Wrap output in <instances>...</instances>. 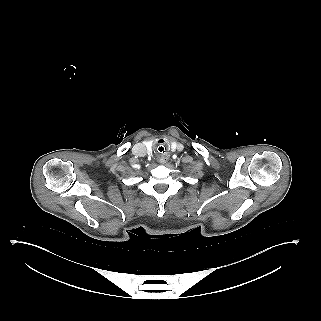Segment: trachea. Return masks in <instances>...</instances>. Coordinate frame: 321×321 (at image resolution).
I'll list each match as a JSON object with an SVG mask.
<instances>
[{
    "label": "trachea",
    "instance_id": "obj_1",
    "mask_svg": "<svg viewBox=\"0 0 321 321\" xmlns=\"http://www.w3.org/2000/svg\"><path fill=\"white\" fill-rule=\"evenodd\" d=\"M152 153L156 158H163L166 155V147L163 144H156L152 148Z\"/></svg>",
    "mask_w": 321,
    "mask_h": 321
}]
</instances>
